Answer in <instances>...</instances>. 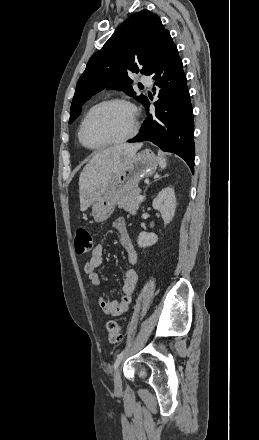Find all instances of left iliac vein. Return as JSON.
Instances as JSON below:
<instances>
[{"instance_id":"4c4485c4","label":"left iliac vein","mask_w":259,"mask_h":440,"mask_svg":"<svg viewBox=\"0 0 259 440\" xmlns=\"http://www.w3.org/2000/svg\"><path fill=\"white\" fill-rule=\"evenodd\" d=\"M114 385L116 390H120L122 387L121 373L119 369H117L114 375Z\"/></svg>"}]
</instances>
